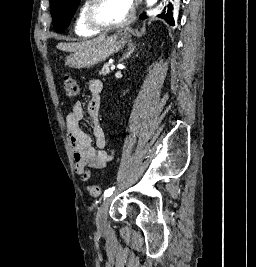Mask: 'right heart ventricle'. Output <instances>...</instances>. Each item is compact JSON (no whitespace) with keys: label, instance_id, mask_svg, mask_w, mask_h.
I'll use <instances>...</instances> for the list:
<instances>
[{"label":"right heart ventricle","instance_id":"1","mask_svg":"<svg viewBox=\"0 0 256 267\" xmlns=\"http://www.w3.org/2000/svg\"><path fill=\"white\" fill-rule=\"evenodd\" d=\"M88 6L82 9L77 16L73 26V31L76 36H98L100 32L91 29L86 22V11Z\"/></svg>","mask_w":256,"mask_h":267}]
</instances>
